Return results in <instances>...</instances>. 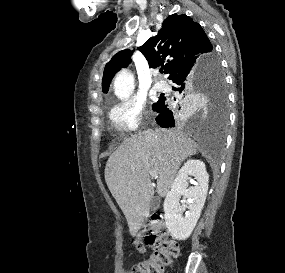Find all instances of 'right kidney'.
<instances>
[{"instance_id": "right-kidney-1", "label": "right kidney", "mask_w": 285, "mask_h": 273, "mask_svg": "<svg viewBox=\"0 0 285 273\" xmlns=\"http://www.w3.org/2000/svg\"><path fill=\"white\" fill-rule=\"evenodd\" d=\"M208 180L205 164L200 160L190 159L179 170L163 206L166 227L175 239H187L195 228L206 200ZM189 182L195 186L189 187ZM181 196L187 199L182 205Z\"/></svg>"}]
</instances>
